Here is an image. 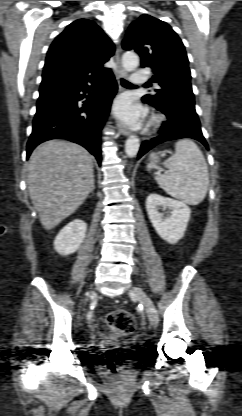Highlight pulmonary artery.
Instances as JSON below:
<instances>
[{
	"label": "pulmonary artery",
	"instance_id": "1",
	"mask_svg": "<svg viewBox=\"0 0 242 416\" xmlns=\"http://www.w3.org/2000/svg\"><path fill=\"white\" fill-rule=\"evenodd\" d=\"M147 75L145 70L137 69L133 72L131 81L133 84L138 85L147 81Z\"/></svg>",
	"mask_w": 242,
	"mask_h": 416
}]
</instances>
